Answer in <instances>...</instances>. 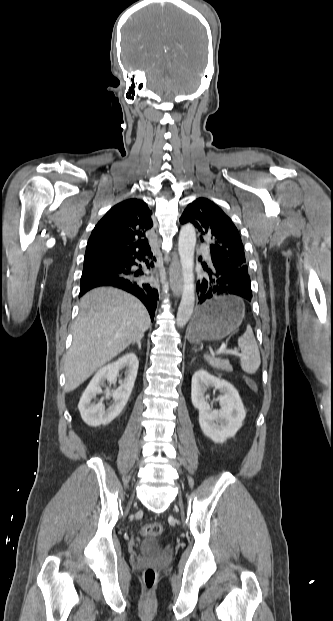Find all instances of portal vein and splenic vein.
I'll list each match as a JSON object with an SVG mask.
<instances>
[{"mask_svg":"<svg viewBox=\"0 0 333 621\" xmlns=\"http://www.w3.org/2000/svg\"><path fill=\"white\" fill-rule=\"evenodd\" d=\"M221 353L233 354V355H236V356H241L240 353L237 350L226 349V345L225 344H222V346L216 352H211L209 356H214L215 354H221Z\"/></svg>","mask_w":333,"mask_h":621,"instance_id":"18ae733b","label":"portal vein and splenic vein"}]
</instances>
